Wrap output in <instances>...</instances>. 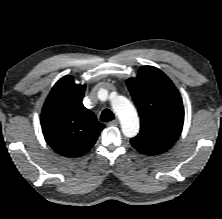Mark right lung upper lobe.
<instances>
[{
    "instance_id": "right-lung-upper-lobe-1",
    "label": "right lung upper lobe",
    "mask_w": 222,
    "mask_h": 219,
    "mask_svg": "<svg viewBox=\"0 0 222 219\" xmlns=\"http://www.w3.org/2000/svg\"><path fill=\"white\" fill-rule=\"evenodd\" d=\"M86 85H77L72 76L61 78L48 95L41 113L47 143L60 155L79 157L96 142L104 124L82 104Z\"/></svg>"
}]
</instances>
